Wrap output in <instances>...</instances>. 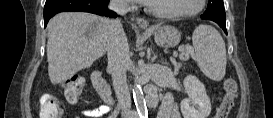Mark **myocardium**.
<instances>
[{"label": "myocardium", "mask_w": 273, "mask_h": 118, "mask_svg": "<svg viewBox=\"0 0 273 118\" xmlns=\"http://www.w3.org/2000/svg\"><path fill=\"white\" fill-rule=\"evenodd\" d=\"M206 0H198L196 8L188 12H160L153 8L150 2L145 4L146 10L155 17L163 19H177L191 17L200 13L205 7Z\"/></svg>", "instance_id": "1"}]
</instances>
